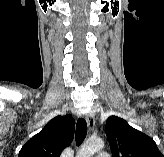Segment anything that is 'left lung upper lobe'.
Returning <instances> with one entry per match:
<instances>
[{"mask_svg": "<svg viewBox=\"0 0 164 157\" xmlns=\"http://www.w3.org/2000/svg\"><path fill=\"white\" fill-rule=\"evenodd\" d=\"M105 132L113 157H163L151 137L131 127L122 118L110 116Z\"/></svg>", "mask_w": 164, "mask_h": 157, "instance_id": "5c2ea615", "label": "left lung upper lobe"}]
</instances>
